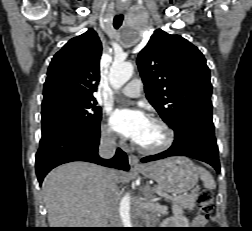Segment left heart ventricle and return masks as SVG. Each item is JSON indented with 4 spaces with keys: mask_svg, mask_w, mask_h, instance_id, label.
Segmentation results:
<instances>
[{
    "mask_svg": "<svg viewBox=\"0 0 252 231\" xmlns=\"http://www.w3.org/2000/svg\"><path fill=\"white\" fill-rule=\"evenodd\" d=\"M165 140L163 129L153 121H150L142 137L137 142L144 147H157Z\"/></svg>",
    "mask_w": 252,
    "mask_h": 231,
    "instance_id": "obj_1",
    "label": "left heart ventricle"
}]
</instances>
